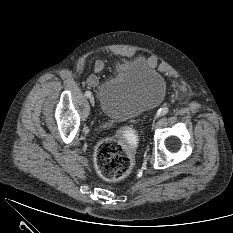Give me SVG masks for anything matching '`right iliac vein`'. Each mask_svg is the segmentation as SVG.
<instances>
[{"mask_svg": "<svg viewBox=\"0 0 233 233\" xmlns=\"http://www.w3.org/2000/svg\"><path fill=\"white\" fill-rule=\"evenodd\" d=\"M89 100H90V103L94 106V104H95V99H94V97H93V96H90V97H89Z\"/></svg>", "mask_w": 233, "mask_h": 233, "instance_id": "right-iliac-vein-1", "label": "right iliac vein"}]
</instances>
